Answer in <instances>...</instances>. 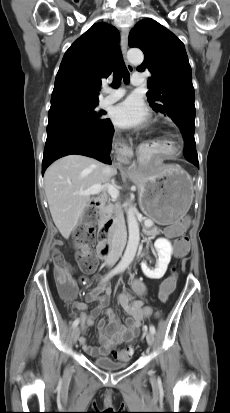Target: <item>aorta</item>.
Listing matches in <instances>:
<instances>
[{
	"label": "aorta",
	"mask_w": 230,
	"mask_h": 413,
	"mask_svg": "<svg viewBox=\"0 0 230 413\" xmlns=\"http://www.w3.org/2000/svg\"><path fill=\"white\" fill-rule=\"evenodd\" d=\"M127 59L130 63L141 64L144 55L140 49H130L127 53ZM127 223L129 239L124 255L119 263V268L121 269H126L133 261L140 241L139 224L132 206H129L127 209Z\"/></svg>",
	"instance_id": "1"
}]
</instances>
